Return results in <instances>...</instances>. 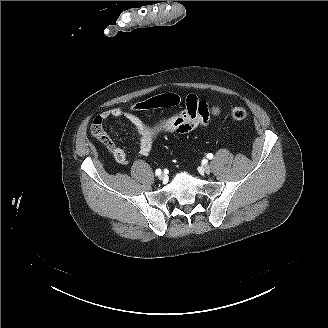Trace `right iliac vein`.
Segmentation results:
<instances>
[{"instance_id": "1", "label": "right iliac vein", "mask_w": 328, "mask_h": 328, "mask_svg": "<svg viewBox=\"0 0 328 328\" xmlns=\"http://www.w3.org/2000/svg\"><path fill=\"white\" fill-rule=\"evenodd\" d=\"M159 179L162 180V181H165L167 179V176L165 174L161 173L159 175Z\"/></svg>"}]
</instances>
